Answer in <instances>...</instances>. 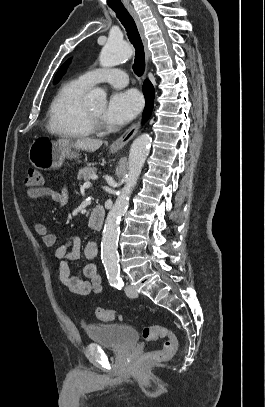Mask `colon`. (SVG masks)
<instances>
[{
    "instance_id": "1",
    "label": "colon",
    "mask_w": 265,
    "mask_h": 407,
    "mask_svg": "<svg viewBox=\"0 0 265 407\" xmlns=\"http://www.w3.org/2000/svg\"><path fill=\"white\" fill-rule=\"evenodd\" d=\"M43 183V176L40 170L36 168H29L25 184L28 188L40 187ZM96 317L102 321L121 320L122 315L110 309L98 308L96 309ZM142 336L145 340L154 341L158 339L163 340L160 349L145 353L141 356V363H149L156 361H164L175 355L178 349V339L176 335L167 327L162 324H152L143 328Z\"/></svg>"
}]
</instances>
